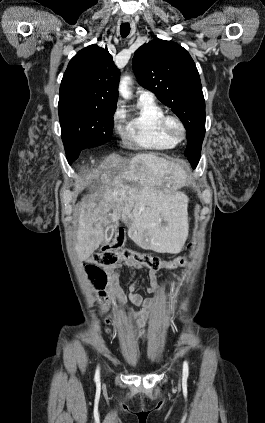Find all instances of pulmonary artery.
Returning a JSON list of instances; mask_svg holds the SVG:
<instances>
[{
  "instance_id": "e3ab8cb5",
  "label": "pulmonary artery",
  "mask_w": 265,
  "mask_h": 423,
  "mask_svg": "<svg viewBox=\"0 0 265 423\" xmlns=\"http://www.w3.org/2000/svg\"><path fill=\"white\" fill-rule=\"evenodd\" d=\"M138 94H139V99H141V100H153L154 99L153 93H151L150 91H147V90H140V91H138Z\"/></svg>"
}]
</instances>
